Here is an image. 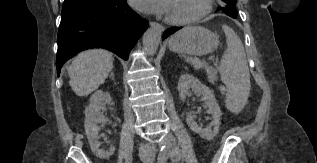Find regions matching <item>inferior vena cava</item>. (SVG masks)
<instances>
[{"mask_svg":"<svg viewBox=\"0 0 317 163\" xmlns=\"http://www.w3.org/2000/svg\"><path fill=\"white\" fill-rule=\"evenodd\" d=\"M139 153H140V156L142 158H147V157H153L154 156V150L148 144H142L140 146Z\"/></svg>","mask_w":317,"mask_h":163,"instance_id":"602c4592","label":"inferior vena cava"}]
</instances>
